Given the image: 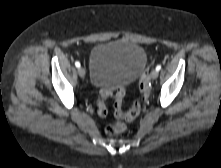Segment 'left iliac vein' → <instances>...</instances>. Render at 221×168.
I'll return each instance as SVG.
<instances>
[{
    "label": "left iliac vein",
    "mask_w": 221,
    "mask_h": 168,
    "mask_svg": "<svg viewBox=\"0 0 221 168\" xmlns=\"http://www.w3.org/2000/svg\"><path fill=\"white\" fill-rule=\"evenodd\" d=\"M158 71L155 69V70H152L150 76L152 79H156L158 77Z\"/></svg>",
    "instance_id": "1"
}]
</instances>
